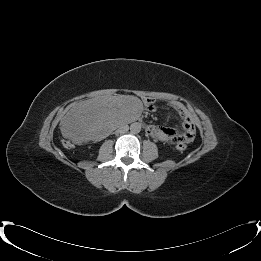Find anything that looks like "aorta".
<instances>
[{
  "mask_svg": "<svg viewBox=\"0 0 261 261\" xmlns=\"http://www.w3.org/2000/svg\"><path fill=\"white\" fill-rule=\"evenodd\" d=\"M130 131L132 134H137L141 131V124L138 122L132 123L130 125Z\"/></svg>",
  "mask_w": 261,
  "mask_h": 261,
  "instance_id": "aorta-1",
  "label": "aorta"
}]
</instances>
